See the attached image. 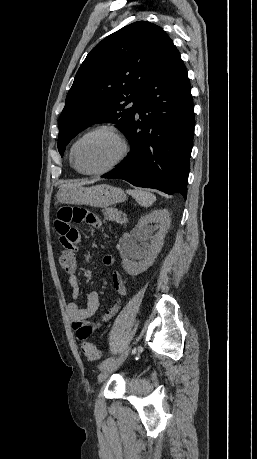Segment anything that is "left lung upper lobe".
<instances>
[{"label":"left lung upper lobe","instance_id":"obj_1","mask_svg":"<svg viewBox=\"0 0 257 459\" xmlns=\"http://www.w3.org/2000/svg\"><path fill=\"white\" fill-rule=\"evenodd\" d=\"M175 46L163 29L147 21L123 27L103 39L76 73L59 118L58 150L86 127L116 123L125 133L138 98ZM134 101L132 107L128 104Z\"/></svg>","mask_w":257,"mask_h":459}]
</instances>
